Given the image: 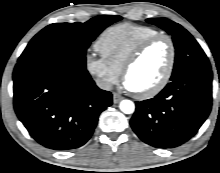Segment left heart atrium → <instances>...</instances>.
I'll use <instances>...</instances> for the list:
<instances>
[{
  "label": "left heart atrium",
  "instance_id": "left-heart-atrium-1",
  "mask_svg": "<svg viewBox=\"0 0 220 173\" xmlns=\"http://www.w3.org/2000/svg\"><path fill=\"white\" fill-rule=\"evenodd\" d=\"M125 85H126V87H127L128 89H130L126 82H125Z\"/></svg>",
  "mask_w": 220,
  "mask_h": 173
}]
</instances>
